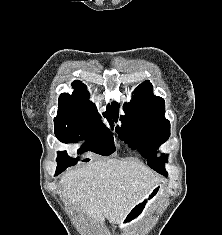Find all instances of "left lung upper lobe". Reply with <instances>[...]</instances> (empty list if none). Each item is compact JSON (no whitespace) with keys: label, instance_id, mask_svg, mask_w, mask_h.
I'll list each match as a JSON object with an SVG mask.
<instances>
[{"label":"left lung upper lobe","instance_id":"obj_1","mask_svg":"<svg viewBox=\"0 0 222 235\" xmlns=\"http://www.w3.org/2000/svg\"><path fill=\"white\" fill-rule=\"evenodd\" d=\"M133 94L131 102L123 105L126 115L120 116L123 127L119 134L132 148L149 158L147 163L152 169L168 176L163 165L168 156L156 157V149L170 136V122L164 117L165 101L153 95L149 81L140 84Z\"/></svg>","mask_w":222,"mask_h":235}]
</instances>
